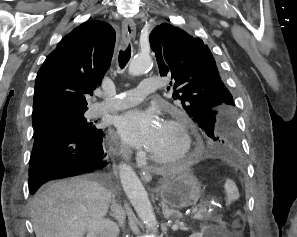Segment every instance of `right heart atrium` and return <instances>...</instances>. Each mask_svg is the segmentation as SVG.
Masks as SVG:
<instances>
[{
    "mask_svg": "<svg viewBox=\"0 0 297 237\" xmlns=\"http://www.w3.org/2000/svg\"><path fill=\"white\" fill-rule=\"evenodd\" d=\"M120 150H121L122 153L125 154V153L128 152V146H127L126 144L122 143V144L120 145Z\"/></svg>",
    "mask_w": 297,
    "mask_h": 237,
    "instance_id": "obj_1",
    "label": "right heart atrium"
}]
</instances>
